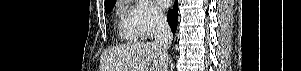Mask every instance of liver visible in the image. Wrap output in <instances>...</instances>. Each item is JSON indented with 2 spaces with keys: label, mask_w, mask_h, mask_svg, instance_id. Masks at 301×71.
<instances>
[{
  "label": "liver",
  "mask_w": 301,
  "mask_h": 71,
  "mask_svg": "<svg viewBox=\"0 0 301 71\" xmlns=\"http://www.w3.org/2000/svg\"><path fill=\"white\" fill-rule=\"evenodd\" d=\"M169 56L154 42H133L102 54V71H167Z\"/></svg>",
  "instance_id": "liver-1"
}]
</instances>
